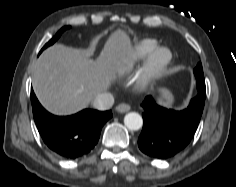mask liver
Listing matches in <instances>:
<instances>
[{
  "label": "liver",
  "instance_id": "1",
  "mask_svg": "<svg viewBox=\"0 0 236 187\" xmlns=\"http://www.w3.org/2000/svg\"><path fill=\"white\" fill-rule=\"evenodd\" d=\"M132 51L130 37L121 29L112 33L97 60L88 50L54 44L34 64L33 90L49 112L74 114L128 71Z\"/></svg>",
  "mask_w": 236,
  "mask_h": 187
}]
</instances>
